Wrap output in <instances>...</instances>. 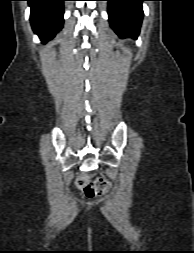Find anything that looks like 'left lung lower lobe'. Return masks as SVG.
<instances>
[{
  "instance_id": "obj_1",
  "label": "left lung lower lobe",
  "mask_w": 194,
  "mask_h": 253,
  "mask_svg": "<svg viewBox=\"0 0 194 253\" xmlns=\"http://www.w3.org/2000/svg\"><path fill=\"white\" fill-rule=\"evenodd\" d=\"M108 1L109 22L120 37H137L143 18L142 2L148 0Z\"/></svg>"
}]
</instances>
